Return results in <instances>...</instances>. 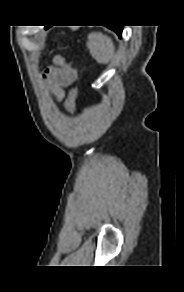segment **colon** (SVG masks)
I'll list each match as a JSON object with an SVG mask.
<instances>
[{"mask_svg":"<svg viewBox=\"0 0 184 292\" xmlns=\"http://www.w3.org/2000/svg\"><path fill=\"white\" fill-rule=\"evenodd\" d=\"M77 101V90L73 89L70 91L66 101H65V107L68 111L73 112L76 106Z\"/></svg>","mask_w":184,"mask_h":292,"instance_id":"colon-1","label":"colon"}]
</instances>
